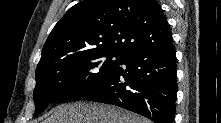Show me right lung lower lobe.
I'll use <instances>...</instances> for the list:
<instances>
[{"mask_svg":"<svg viewBox=\"0 0 221 123\" xmlns=\"http://www.w3.org/2000/svg\"><path fill=\"white\" fill-rule=\"evenodd\" d=\"M175 54L172 35L160 44L131 51L108 78L92 86L83 98L125 108L155 123H173L177 95Z\"/></svg>","mask_w":221,"mask_h":123,"instance_id":"right-lung-lower-lobe-1","label":"right lung lower lobe"}]
</instances>
